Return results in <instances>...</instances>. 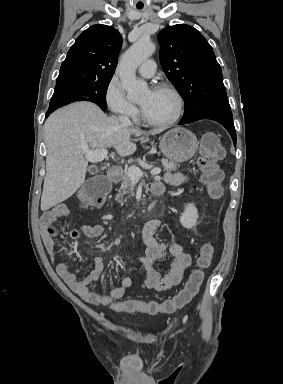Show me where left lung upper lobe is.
Here are the masks:
<instances>
[{"instance_id": "obj_1", "label": "left lung upper lobe", "mask_w": 283, "mask_h": 384, "mask_svg": "<svg viewBox=\"0 0 283 384\" xmlns=\"http://www.w3.org/2000/svg\"><path fill=\"white\" fill-rule=\"evenodd\" d=\"M158 41L161 66L185 101L181 121L231 111L220 65L198 30L186 24L169 26L159 33Z\"/></svg>"}]
</instances>
